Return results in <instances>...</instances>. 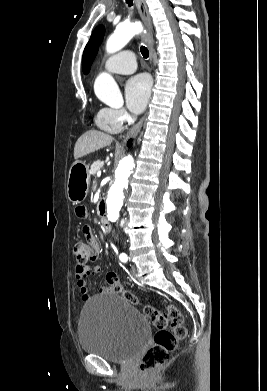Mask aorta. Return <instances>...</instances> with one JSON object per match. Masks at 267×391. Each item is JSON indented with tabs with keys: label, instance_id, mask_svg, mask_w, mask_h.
Wrapping results in <instances>:
<instances>
[{
	"label": "aorta",
	"instance_id": "762f6f07",
	"mask_svg": "<svg viewBox=\"0 0 267 391\" xmlns=\"http://www.w3.org/2000/svg\"><path fill=\"white\" fill-rule=\"evenodd\" d=\"M143 31L140 23L119 24L114 33L109 36L106 42V51L113 54L121 50L136 34ZM94 91L99 100L110 106H118L123 103L120 89L107 73L100 74L94 83ZM134 160L131 156L122 158L115 171V180L110 187L106 204L107 217L112 223H117L119 212L123 206L124 196L128 187L129 179L133 173Z\"/></svg>",
	"mask_w": 267,
	"mask_h": 391
}]
</instances>
